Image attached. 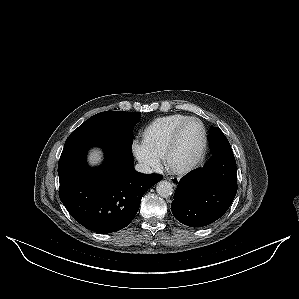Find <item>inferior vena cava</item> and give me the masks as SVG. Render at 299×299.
<instances>
[{
  "label": "inferior vena cava",
  "mask_w": 299,
  "mask_h": 299,
  "mask_svg": "<svg viewBox=\"0 0 299 299\" xmlns=\"http://www.w3.org/2000/svg\"><path fill=\"white\" fill-rule=\"evenodd\" d=\"M135 169H136V171H138L140 173H144V174H150L153 172V169L144 163L136 164Z\"/></svg>",
  "instance_id": "inferior-vena-cava-1"
}]
</instances>
